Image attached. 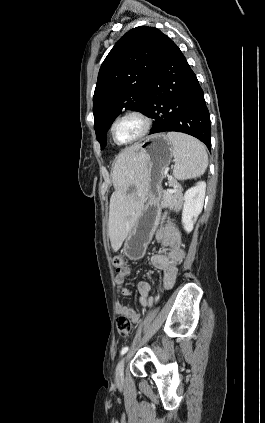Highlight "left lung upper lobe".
Returning a JSON list of instances; mask_svg holds the SVG:
<instances>
[{
	"instance_id": "left-lung-upper-lobe-1",
	"label": "left lung upper lobe",
	"mask_w": 265,
	"mask_h": 423,
	"mask_svg": "<svg viewBox=\"0 0 265 423\" xmlns=\"http://www.w3.org/2000/svg\"><path fill=\"white\" fill-rule=\"evenodd\" d=\"M165 37L157 28H133L102 63L93 96L94 129L101 149L106 146L108 129L123 109L144 113L146 91Z\"/></svg>"
}]
</instances>
